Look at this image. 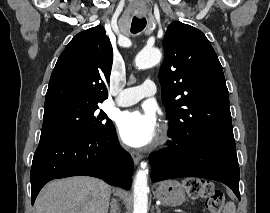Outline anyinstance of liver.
Returning <instances> with one entry per match:
<instances>
[{
	"label": "liver",
	"mask_w": 270,
	"mask_h": 213,
	"mask_svg": "<svg viewBox=\"0 0 270 213\" xmlns=\"http://www.w3.org/2000/svg\"><path fill=\"white\" fill-rule=\"evenodd\" d=\"M111 187L102 180L78 176L48 183L35 201V213H107Z\"/></svg>",
	"instance_id": "1"
}]
</instances>
